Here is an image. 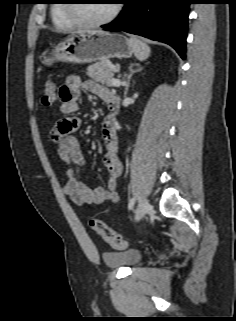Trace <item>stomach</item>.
I'll use <instances>...</instances> for the list:
<instances>
[{"label": "stomach", "instance_id": "obj_1", "mask_svg": "<svg viewBox=\"0 0 236 321\" xmlns=\"http://www.w3.org/2000/svg\"><path fill=\"white\" fill-rule=\"evenodd\" d=\"M132 53L133 47L123 35L81 31L59 43L51 57H44L43 63L48 66L55 61L84 64L110 58H129Z\"/></svg>", "mask_w": 236, "mask_h": 321}]
</instances>
